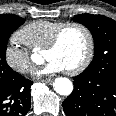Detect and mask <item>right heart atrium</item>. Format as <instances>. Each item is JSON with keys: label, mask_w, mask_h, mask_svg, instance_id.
<instances>
[{"label": "right heart atrium", "mask_w": 116, "mask_h": 116, "mask_svg": "<svg viewBox=\"0 0 116 116\" xmlns=\"http://www.w3.org/2000/svg\"><path fill=\"white\" fill-rule=\"evenodd\" d=\"M3 57L7 66L19 74H28L34 69L29 50L17 33L6 45Z\"/></svg>", "instance_id": "d8ad5b80"}]
</instances>
